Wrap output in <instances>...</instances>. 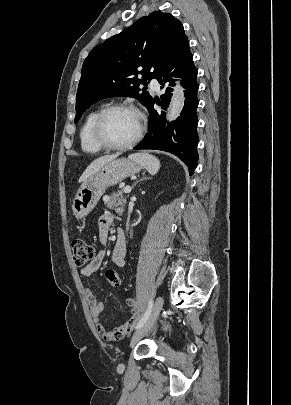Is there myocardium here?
Segmentation results:
<instances>
[{
	"label": "myocardium",
	"mask_w": 291,
	"mask_h": 405,
	"mask_svg": "<svg viewBox=\"0 0 291 405\" xmlns=\"http://www.w3.org/2000/svg\"><path fill=\"white\" fill-rule=\"evenodd\" d=\"M131 110L139 117V129L135 137L125 144H114L109 142L103 134V122L106 116L115 110ZM145 131V118L142 112L132 104L128 103H115L102 108L96 115L91 129L92 138L97 145L103 149L122 151L134 147L142 138Z\"/></svg>",
	"instance_id": "f54148a6"
}]
</instances>
